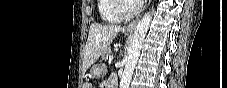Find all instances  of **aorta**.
I'll use <instances>...</instances> for the list:
<instances>
[{
  "label": "aorta",
  "instance_id": "obj_1",
  "mask_svg": "<svg viewBox=\"0 0 227 88\" xmlns=\"http://www.w3.org/2000/svg\"><path fill=\"white\" fill-rule=\"evenodd\" d=\"M152 21V13L148 12L138 22L134 33L131 37L130 44L125 57V68L120 81V88H129L134 68L137 64L142 44L146 37L150 23Z\"/></svg>",
  "mask_w": 227,
  "mask_h": 88
}]
</instances>
